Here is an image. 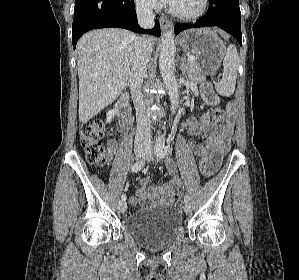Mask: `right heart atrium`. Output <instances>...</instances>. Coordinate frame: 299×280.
Masks as SVG:
<instances>
[{
  "label": "right heart atrium",
  "mask_w": 299,
  "mask_h": 280,
  "mask_svg": "<svg viewBox=\"0 0 299 280\" xmlns=\"http://www.w3.org/2000/svg\"><path fill=\"white\" fill-rule=\"evenodd\" d=\"M138 4L147 9H157L160 6L159 0H136Z\"/></svg>",
  "instance_id": "d8ad5b80"
}]
</instances>
